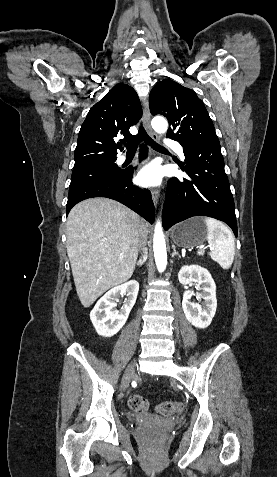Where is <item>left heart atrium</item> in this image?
<instances>
[{"label":"left heart atrium","mask_w":277,"mask_h":477,"mask_svg":"<svg viewBox=\"0 0 277 477\" xmlns=\"http://www.w3.org/2000/svg\"><path fill=\"white\" fill-rule=\"evenodd\" d=\"M161 177L162 172L160 168L154 164H150L139 171L137 180L142 186H153L161 181Z\"/></svg>","instance_id":"left-heart-atrium-1"}]
</instances>
